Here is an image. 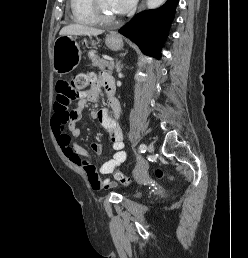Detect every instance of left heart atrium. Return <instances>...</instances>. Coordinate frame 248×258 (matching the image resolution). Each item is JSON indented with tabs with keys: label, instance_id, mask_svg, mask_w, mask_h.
<instances>
[{
	"label": "left heart atrium",
	"instance_id": "1",
	"mask_svg": "<svg viewBox=\"0 0 248 258\" xmlns=\"http://www.w3.org/2000/svg\"><path fill=\"white\" fill-rule=\"evenodd\" d=\"M113 10L117 14L127 13L134 5L136 0H110Z\"/></svg>",
	"mask_w": 248,
	"mask_h": 258
}]
</instances>
